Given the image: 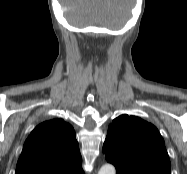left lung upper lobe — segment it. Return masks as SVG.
Masks as SVG:
<instances>
[{"label":"left lung upper lobe","instance_id":"5c2ea615","mask_svg":"<svg viewBox=\"0 0 187 174\" xmlns=\"http://www.w3.org/2000/svg\"><path fill=\"white\" fill-rule=\"evenodd\" d=\"M116 174H170L165 142L157 128L135 116L113 120L103 145Z\"/></svg>","mask_w":187,"mask_h":174}]
</instances>
